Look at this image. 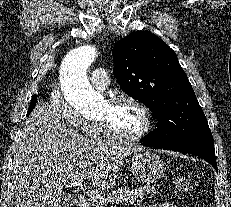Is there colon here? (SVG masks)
Instances as JSON below:
<instances>
[{
  "label": "colon",
  "instance_id": "5ec220e1",
  "mask_svg": "<svg viewBox=\"0 0 231 207\" xmlns=\"http://www.w3.org/2000/svg\"><path fill=\"white\" fill-rule=\"evenodd\" d=\"M176 188L181 193L185 194L187 197H190L193 193V186L190 181L185 177H178L175 181Z\"/></svg>",
  "mask_w": 231,
  "mask_h": 207
}]
</instances>
